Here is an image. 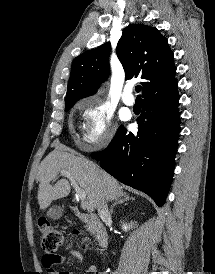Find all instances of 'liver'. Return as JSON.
I'll list each match as a JSON object with an SVG mask.
<instances>
[{
	"label": "liver",
	"mask_w": 215,
	"mask_h": 274,
	"mask_svg": "<svg viewBox=\"0 0 215 274\" xmlns=\"http://www.w3.org/2000/svg\"><path fill=\"white\" fill-rule=\"evenodd\" d=\"M68 172L86 193V208L92 213L98 208L104 196L106 201L117 200L124 196L119 182L88 159L56 148L41 162L36 179L39 182L38 203L46 209L52 201L67 197L71 191L67 180L61 179L55 185L50 182L61 171Z\"/></svg>",
	"instance_id": "obj_1"
}]
</instances>
